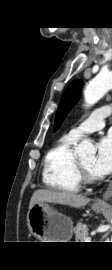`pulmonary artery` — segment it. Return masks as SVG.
<instances>
[{"label":"pulmonary artery","mask_w":112,"mask_h":270,"mask_svg":"<svg viewBox=\"0 0 112 270\" xmlns=\"http://www.w3.org/2000/svg\"><path fill=\"white\" fill-rule=\"evenodd\" d=\"M111 114V109L107 106L98 108L77 127L71 129L69 134L79 139L86 134L98 131L105 126V118Z\"/></svg>","instance_id":"e3ab8cb5"}]
</instances>
